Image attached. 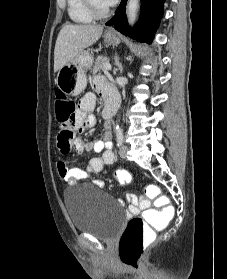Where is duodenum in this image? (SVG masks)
I'll return each instance as SVG.
<instances>
[{"label":"duodenum","instance_id":"1","mask_svg":"<svg viewBox=\"0 0 227 279\" xmlns=\"http://www.w3.org/2000/svg\"><path fill=\"white\" fill-rule=\"evenodd\" d=\"M117 110V103L115 100H108L103 109V116L110 119Z\"/></svg>","mask_w":227,"mask_h":279}]
</instances>
